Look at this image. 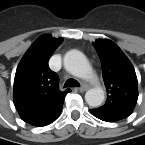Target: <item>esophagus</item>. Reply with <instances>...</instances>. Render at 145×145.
Here are the masks:
<instances>
[{
    "mask_svg": "<svg viewBox=\"0 0 145 145\" xmlns=\"http://www.w3.org/2000/svg\"><path fill=\"white\" fill-rule=\"evenodd\" d=\"M88 89H89V87H88L87 85H85V84H83L81 87L78 88V90H79L80 92H85V91H87Z\"/></svg>",
    "mask_w": 145,
    "mask_h": 145,
    "instance_id": "1",
    "label": "esophagus"
}]
</instances>
